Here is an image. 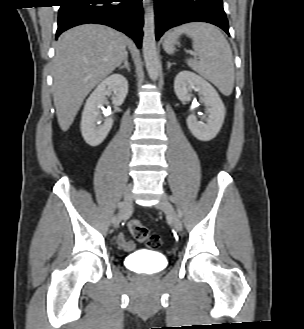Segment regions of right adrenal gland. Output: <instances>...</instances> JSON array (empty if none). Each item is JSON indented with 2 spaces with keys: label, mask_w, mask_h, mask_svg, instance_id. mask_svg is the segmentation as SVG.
<instances>
[{
  "label": "right adrenal gland",
  "mask_w": 304,
  "mask_h": 329,
  "mask_svg": "<svg viewBox=\"0 0 304 329\" xmlns=\"http://www.w3.org/2000/svg\"><path fill=\"white\" fill-rule=\"evenodd\" d=\"M126 68L128 72H130V66L128 63V55H126L125 59H124V65L119 67V70Z\"/></svg>",
  "instance_id": "2a0ac1e0"
}]
</instances>
